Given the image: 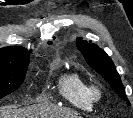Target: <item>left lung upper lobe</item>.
Listing matches in <instances>:
<instances>
[{
    "mask_svg": "<svg viewBox=\"0 0 133 118\" xmlns=\"http://www.w3.org/2000/svg\"><path fill=\"white\" fill-rule=\"evenodd\" d=\"M76 45L87 63L110 84L115 92L130 105L126 98L125 89L114 63L107 54L91 41H84L77 38Z\"/></svg>",
    "mask_w": 133,
    "mask_h": 118,
    "instance_id": "5c2ea615",
    "label": "left lung upper lobe"
}]
</instances>
